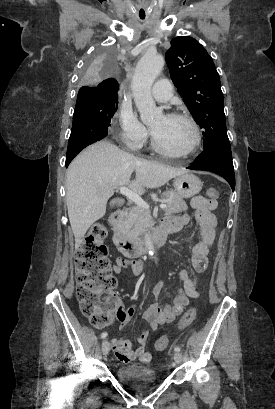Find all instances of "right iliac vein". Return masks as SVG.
<instances>
[{"mask_svg":"<svg viewBox=\"0 0 275 409\" xmlns=\"http://www.w3.org/2000/svg\"><path fill=\"white\" fill-rule=\"evenodd\" d=\"M110 351V344L107 340H104L102 343V352L106 356Z\"/></svg>","mask_w":275,"mask_h":409,"instance_id":"right-iliac-vein-1","label":"right iliac vein"}]
</instances>
